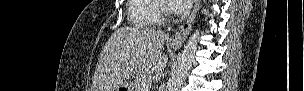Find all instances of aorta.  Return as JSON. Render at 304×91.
<instances>
[{
    "mask_svg": "<svg viewBox=\"0 0 304 91\" xmlns=\"http://www.w3.org/2000/svg\"><path fill=\"white\" fill-rule=\"evenodd\" d=\"M199 36L200 32L199 29H197L190 36L189 40L184 46V50L182 51L176 69L174 70V73L167 84V91H178L181 85L183 84L185 78L187 77L192 67V63L194 61V56L198 46Z\"/></svg>",
    "mask_w": 304,
    "mask_h": 91,
    "instance_id": "obj_1",
    "label": "aorta"
}]
</instances>
